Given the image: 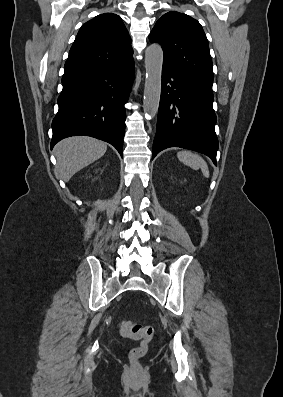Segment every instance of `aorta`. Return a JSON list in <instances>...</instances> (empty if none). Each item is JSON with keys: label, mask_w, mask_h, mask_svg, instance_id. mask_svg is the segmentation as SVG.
I'll list each match as a JSON object with an SVG mask.
<instances>
[{"label": "aorta", "mask_w": 283, "mask_h": 397, "mask_svg": "<svg viewBox=\"0 0 283 397\" xmlns=\"http://www.w3.org/2000/svg\"><path fill=\"white\" fill-rule=\"evenodd\" d=\"M163 51L159 44H150L145 51L146 79L144 87L143 110L148 118L158 112L161 96V76Z\"/></svg>", "instance_id": "1"}]
</instances>
